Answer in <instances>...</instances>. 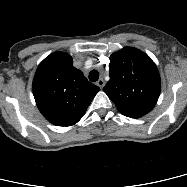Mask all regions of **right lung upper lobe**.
Here are the masks:
<instances>
[{
  "mask_svg": "<svg viewBox=\"0 0 187 187\" xmlns=\"http://www.w3.org/2000/svg\"><path fill=\"white\" fill-rule=\"evenodd\" d=\"M99 87L73 67L72 57L55 52L38 66L33 94L38 109L52 124L72 126L85 114Z\"/></svg>",
  "mask_w": 187,
  "mask_h": 187,
  "instance_id": "obj_1",
  "label": "right lung upper lobe"
}]
</instances>
